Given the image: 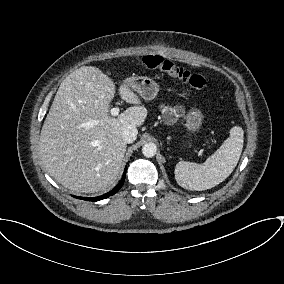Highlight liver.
Masks as SVG:
<instances>
[{"instance_id": "liver-1", "label": "liver", "mask_w": 284, "mask_h": 284, "mask_svg": "<svg viewBox=\"0 0 284 284\" xmlns=\"http://www.w3.org/2000/svg\"><path fill=\"white\" fill-rule=\"evenodd\" d=\"M114 82L93 66H82L61 83L44 121L39 150L47 172L64 187L80 192H106L121 173L127 125L141 126L147 109L125 83L122 100L134 106L111 117Z\"/></svg>"}]
</instances>
